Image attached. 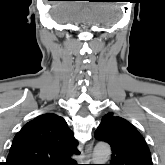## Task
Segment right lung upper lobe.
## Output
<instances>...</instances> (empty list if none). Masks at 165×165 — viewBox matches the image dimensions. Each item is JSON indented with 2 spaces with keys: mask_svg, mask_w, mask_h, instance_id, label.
<instances>
[{
  "mask_svg": "<svg viewBox=\"0 0 165 165\" xmlns=\"http://www.w3.org/2000/svg\"><path fill=\"white\" fill-rule=\"evenodd\" d=\"M66 121L52 113L28 122L15 136L6 165H57L79 154Z\"/></svg>",
  "mask_w": 165,
  "mask_h": 165,
  "instance_id": "right-lung-upper-lobe-1",
  "label": "right lung upper lobe"
}]
</instances>
